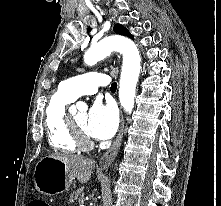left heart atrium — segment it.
Listing matches in <instances>:
<instances>
[{
    "instance_id": "obj_1",
    "label": "left heart atrium",
    "mask_w": 221,
    "mask_h": 206,
    "mask_svg": "<svg viewBox=\"0 0 221 206\" xmlns=\"http://www.w3.org/2000/svg\"><path fill=\"white\" fill-rule=\"evenodd\" d=\"M118 122L114 105L96 102L88 112L86 132L96 139H108L116 132Z\"/></svg>"
}]
</instances>
